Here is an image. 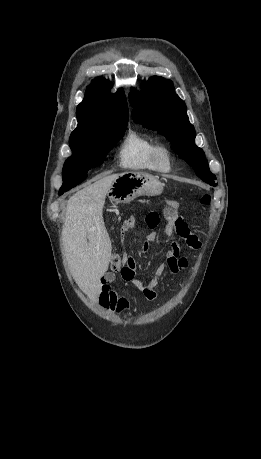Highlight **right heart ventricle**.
<instances>
[{"instance_id": "e07e8e85", "label": "right heart ventricle", "mask_w": 261, "mask_h": 459, "mask_svg": "<svg viewBox=\"0 0 261 459\" xmlns=\"http://www.w3.org/2000/svg\"><path fill=\"white\" fill-rule=\"evenodd\" d=\"M158 143L149 135L138 131L129 132L118 150V163L131 170L157 171L153 161Z\"/></svg>"}]
</instances>
